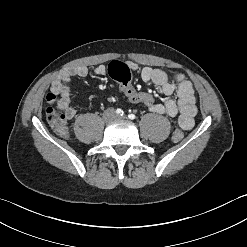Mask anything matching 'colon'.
<instances>
[{
	"label": "colon",
	"instance_id": "5ec220e1",
	"mask_svg": "<svg viewBox=\"0 0 247 247\" xmlns=\"http://www.w3.org/2000/svg\"><path fill=\"white\" fill-rule=\"evenodd\" d=\"M108 74L119 82L120 89L127 99L136 104H144L146 107H151L155 103V97L151 92H143L137 90L131 83L132 75L127 66L118 61H113L108 65ZM49 107L46 111V118L53 129L61 136L68 135L66 126V115L62 108L56 104V96L49 93L47 96ZM184 137V131L181 128H176L172 133V140L179 142Z\"/></svg>",
	"mask_w": 247,
	"mask_h": 247
}]
</instances>
